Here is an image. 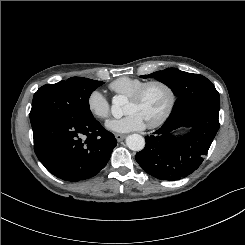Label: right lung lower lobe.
I'll list each match as a JSON object with an SVG mask.
<instances>
[{
  "mask_svg": "<svg viewBox=\"0 0 245 245\" xmlns=\"http://www.w3.org/2000/svg\"><path fill=\"white\" fill-rule=\"evenodd\" d=\"M34 150L56 177L77 182L95 176L110 159L117 140L95 119L45 117L32 125Z\"/></svg>",
  "mask_w": 245,
  "mask_h": 245,
  "instance_id": "right-lung-lower-lobe-1",
  "label": "right lung lower lobe"
}]
</instances>
